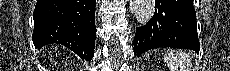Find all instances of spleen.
Here are the masks:
<instances>
[{
  "instance_id": "obj_1",
  "label": "spleen",
  "mask_w": 230,
  "mask_h": 71,
  "mask_svg": "<svg viewBox=\"0 0 230 71\" xmlns=\"http://www.w3.org/2000/svg\"><path fill=\"white\" fill-rule=\"evenodd\" d=\"M164 61L170 71H191V59L189 55L180 50H168L164 55Z\"/></svg>"
}]
</instances>
